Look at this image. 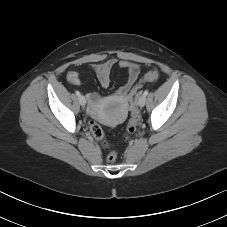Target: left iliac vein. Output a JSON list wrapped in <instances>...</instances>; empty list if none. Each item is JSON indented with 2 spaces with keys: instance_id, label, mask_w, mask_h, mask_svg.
I'll list each match as a JSON object with an SVG mask.
<instances>
[{
  "instance_id": "1",
  "label": "left iliac vein",
  "mask_w": 227,
  "mask_h": 227,
  "mask_svg": "<svg viewBox=\"0 0 227 227\" xmlns=\"http://www.w3.org/2000/svg\"><path fill=\"white\" fill-rule=\"evenodd\" d=\"M146 103V97L144 95L140 96L139 100H138V105L139 107H143Z\"/></svg>"
}]
</instances>
